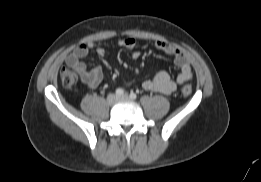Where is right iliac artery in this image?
Listing matches in <instances>:
<instances>
[{
  "mask_svg": "<svg viewBox=\"0 0 261 182\" xmlns=\"http://www.w3.org/2000/svg\"><path fill=\"white\" fill-rule=\"evenodd\" d=\"M115 93L117 96L120 97V96L124 95V90L122 88H118V89H116Z\"/></svg>",
  "mask_w": 261,
  "mask_h": 182,
  "instance_id": "82829eb1",
  "label": "right iliac artery"
}]
</instances>
